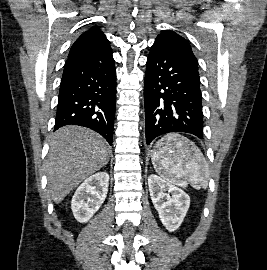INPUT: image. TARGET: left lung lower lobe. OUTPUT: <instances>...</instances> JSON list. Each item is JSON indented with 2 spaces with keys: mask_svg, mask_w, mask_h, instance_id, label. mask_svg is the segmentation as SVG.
<instances>
[{
  "mask_svg": "<svg viewBox=\"0 0 267 270\" xmlns=\"http://www.w3.org/2000/svg\"><path fill=\"white\" fill-rule=\"evenodd\" d=\"M144 104L147 145L172 132L203 139L198 67L158 43L153 44L147 59Z\"/></svg>",
  "mask_w": 267,
  "mask_h": 270,
  "instance_id": "obj_1",
  "label": "left lung lower lobe"
}]
</instances>
